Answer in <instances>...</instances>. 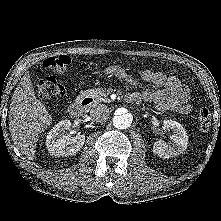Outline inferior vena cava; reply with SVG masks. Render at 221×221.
Here are the masks:
<instances>
[{
	"label": "inferior vena cava",
	"instance_id": "inferior-vena-cava-1",
	"mask_svg": "<svg viewBox=\"0 0 221 221\" xmlns=\"http://www.w3.org/2000/svg\"><path fill=\"white\" fill-rule=\"evenodd\" d=\"M90 115L96 122H105L110 117V111L107 105L99 104L90 111Z\"/></svg>",
	"mask_w": 221,
	"mask_h": 221
}]
</instances>
